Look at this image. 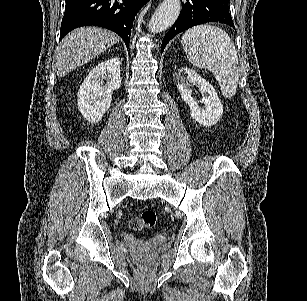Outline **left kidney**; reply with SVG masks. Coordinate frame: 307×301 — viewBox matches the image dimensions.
<instances>
[{
    "label": "left kidney",
    "instance_id": "obj_1",
    "mask_svg": "<svg viewBox=\"0 0 307 301\" xmlns=\"http://www.w3.org/2000/svg\"><path fill=\"white\" fill-rule=\"evenodd\" d=\"M175 82L183 100L189 104L190 114L194 120L204 126H212L220 120L223 114V104L212 84L197 74L196 70L185 68V66L178 68ZM192 84L198 86L202 94L201 100H196L192 96V88H190ZM199 102H202L203 106H199Z\"/></svg>",
    "mask_w": 307,
    "mask_h": 301
}]
</instances>
